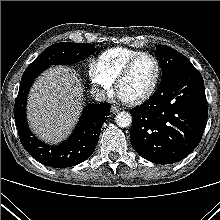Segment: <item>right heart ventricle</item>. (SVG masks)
<instances>
[{
    "label": "right heart ventricle",
    "mask_w": 220,
    "mask_h": 220,
    "mask_svg": "<svg viewBox=\"0 0 220 220\" xmlns=\"http://www.w3.org/2000/svg\"><path fill=\"white\" fill-rule=\"evenodd\" d=\"M139 52L141 51L124 47L111 48L99 56L98 63L106 76L114 82L127 61Z\"/></svg>",
    "instance_id": "1"
}]
</instances>
